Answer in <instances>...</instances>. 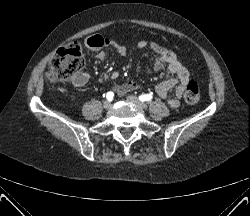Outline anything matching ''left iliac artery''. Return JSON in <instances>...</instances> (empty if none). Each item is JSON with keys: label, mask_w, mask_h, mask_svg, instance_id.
<instances>
[{"label": "left iliac artery", "mask_w": 250, "mask_h": 216, "mask_svg": "<svg viewBox=\"0 0 250 216\" xmlns=\"http://www.w3.org/2000/svg\"><path fill=\"white\" fill-rule=\"evenodd\" d=\"M140 101L144 102V101H151L152 99V95L150 94H146V95H140L139 96Z\"/></svg>", "instance_id": "obj_1"}]
</instances>
